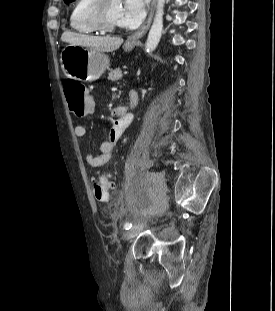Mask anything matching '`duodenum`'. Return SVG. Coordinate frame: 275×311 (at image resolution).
<instances>
[{
    "mask_svg": "<svg viewBox=\"0 0 275 311\" xmlns=\"http://www.w3.org/2000/svg\"><path fill=\"white\" fill-rule=\"evenodd\" d=\"M130 101H131L132 106H134L137 103V101L131 96H130ZM116 110H125V107L124 106H118V107H116Z\"/></svg>",
    "mask_w": 275,
    "mask_h": 311,
    "instance_id": "410a0bca",
    "label": "duodenum"
}]
</instances>
